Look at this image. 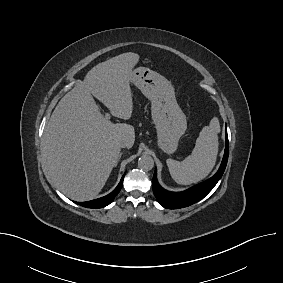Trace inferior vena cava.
Segmentation results:
<instances>
[{
    "label": "inferior vena cava",
    "instance_id": "obj_1",
    "mask_svg": "<svg viewBox=\"0 0 283 283\" xmlns=\"http://www.w3.org/2000/svg\"><path fill=\"white\" fill-rule=\"evenodd\" d=\"M127 146H128V144H127L126 141H120V142H119V147H120V148H125V147H127Z\"/></svg>",
    "mask_w": 283,
    "mask_h": 283
}]
</instances>
